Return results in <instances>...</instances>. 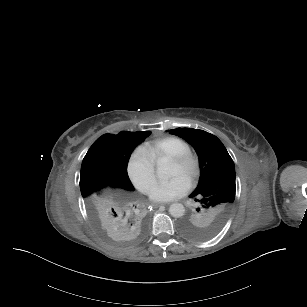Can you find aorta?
Here are the masks:
<instances>
[{
	"mask_svg": "<svg viewBox=\"0 0 307 307\" xmlns=\"http://www.w3.org/2000/svg\"><path fill=\"white\" fill-rule=\"evenodd\" d=\"M173 169L168 163L160 162L157 168V175L162 180H168L172 176ZM169 213L175 218L182 217L185 213V208L181 203H173L169 207Z\"/></svg>",
	"mask_w": 307,
	"mask_h": 307,
	"instance_id": "762f6f07",
	"label": "aorta"
}]
</instances>
